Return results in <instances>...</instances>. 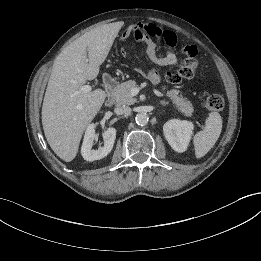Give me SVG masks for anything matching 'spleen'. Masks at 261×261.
I'll return each instance as SVG.
<instances>
[{"instance_id":"spleen-1","label":"spleen","mask_w":261,"mask_h":261,"mask_svg":"<svg viewBox=\"0 0 261 261\" xmlns=\"http://www.w3.org/2000/svg\"><path fill=\"white\" fill-rule=\"evenodd\" d=\"M222 130V118L218 112H211L202 131L195 134L193 143L196 158L205 156L215 145Z\"/></svg>"}]
</instances>
